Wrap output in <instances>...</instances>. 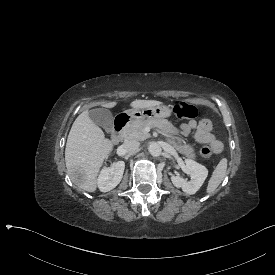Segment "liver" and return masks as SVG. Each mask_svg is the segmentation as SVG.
Returning <instances> with one entry per match:
<instances>
[{
  "label": "liver",
  "mask_w": 275,
  "mask_h": 275,
  "mask_svg": "<svg viewBox=\"0 0 275 275\" xmlns=\"http://www.w3.org/2000/svg\"><path fill=\"white\" fill-rule=\"evenodd\" d=\"M162 103L157 100L136 99L130 103V107L143 109ZM117 105L118 101L100 103V106L108 109ZM114 146V141L105 138L103 130L90 119L88 109L79 114L67 137L65 164L69 175L74 166H80L85 171L86 181L79 186L80 189L96 192L99 172L113 153Z\"/></svg>",
  "instance_id": "6515ba94"
}]
</instances>
